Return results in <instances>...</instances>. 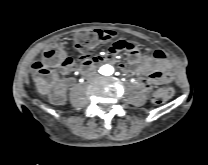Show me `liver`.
<instances>
[{"mask_svg":"<svg viewBox=\"0 0 208 165\" xmlns=\"http://www.w3.org/2000/svg\"><path fill=\"white\" fill-rule=\"evenodd\" d=\"M35 82H36L37 91L41 95H46L48 93L47 83L42 78H36Z\"/></svg>","mask_w":208,"mask_h":165,"instance_id":"1","label":"liver"}]
</instances>
